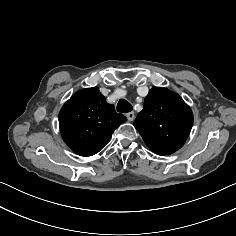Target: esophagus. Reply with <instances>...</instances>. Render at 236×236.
Wrapping results in <instances>:
<instances>
[{
	"label": "esophagus",
	"mask_w": 236,
	"mask_h": 236,
	"mask_svg": "<svg viewBox=\"0 0 236 236\" xmlns=\"http://www.w3.org/2000/svg\"><path fill=\"white\" fill-rule=\"evenodd\" d=\"M126 117L129 121H133L135 118V114H134V112H129L126 114Z\"/></svg>",
	"instance_id": "1"
}]
</instances>
